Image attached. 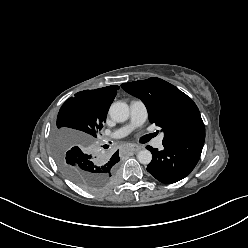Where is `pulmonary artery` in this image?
Masks as SVG:
<instances>
[{
    "label": "pulmonary artery",
    "mask_w": 248,
    "mask_h": 248,
    "mask_svg": "<svg viewBox=\"0 0 248 248\" xmlns=\"http://www.w3.org/2000/svg\"><path fill=\"white\" fill-rule=\"evenodd\" d=\"M147 108L142 101L135 100L130 104V123L118 130L113 134V138H121L127 135L134 127L142 125L147 119ZM163 138L157 137L154 140V146L158 149H161L163 146Z\"/></svg>",
    "instance_id": "1"
}]
</instances>
